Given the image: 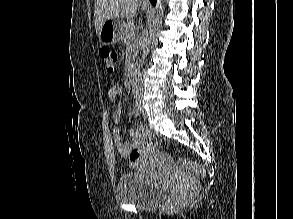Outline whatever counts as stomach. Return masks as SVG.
Segmentation results:
<instances>
[{
  "label": "stomach",
  "instance_id": "1",
  "mask_svg": "<svg viewBox=\"0 0 293 219\" xmlns=\"http://www.w3.org/2000/svg\"><path fill=\"white\" fill-rule=\"evenodd\" d=\"M143 8L147 6L143 5ZM124 22L121 19H108L104 22L99 32V42L103 45H113L118 43L124 32Z\"/></svg>",
  "mask_w": 293,
  "mask_h": 219
}]
</instances>
